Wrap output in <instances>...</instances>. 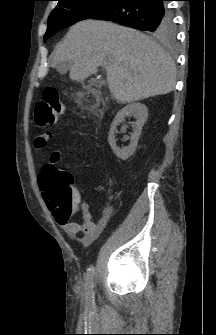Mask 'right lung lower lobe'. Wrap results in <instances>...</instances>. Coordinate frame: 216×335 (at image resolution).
Listing matches in <instances>:
<instances>
[{"instance_id":"right-lung-lower-lobe-1","label":"right lung lower lobe","mask_w":216,"mask_h":335,"mask_svg":"<svg viewBox=\"0 0 216 335\" xmlns=\"http://www.w3.org/2000/svg\"><path fill=\"white\" fill-rule=\"evenodd\" d=\"M165 1L116 0L92 19L113 21L156 35L173 24Z\"/></svg>"}]
</instances>
